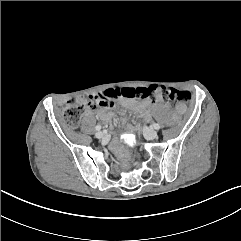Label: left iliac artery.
I'll use <instances>...</instances> for the list:
<instances>
[{
	"label": "left iliac artery",
	"instance_id": "1",
	"mask_svg": "<svg viewBox=\"0 0 241 241\" xmlns=\"http://www.w3.org/2000/svg\"><path fill=\"white\" fill-rule=\"evenodd\" d=\"M153 127H154V129H156V130H159V129H160V125L157 124V123H154V124H153Z\"/></svg>",
	"mask_w": 241,
	"mask_h": 241
}]
</instances>
